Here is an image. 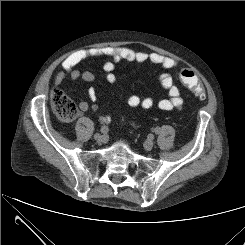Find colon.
I'll return each instance as SVG.
<instances>
[{"mask_svg": "<svg viewBox=\"0 0 245 245\" xmlns=\"http://www.w3.org/2000/svg\"><path fill=\"white\" fill-rule=\"evenodd\" d=\"M178 76L181 82L198 97L201 99L205 97L203 85L195 71L182 68L178 71ZM50 99L51 107L60 119L63 121H71L77 117L79 111L76 103L63 91L58 89L53 90Z\"/></svg>", "mask_w": 245, "mask_h": 245, "instance_id": "5ec220e1", "label": "colon"}]
</instances>
